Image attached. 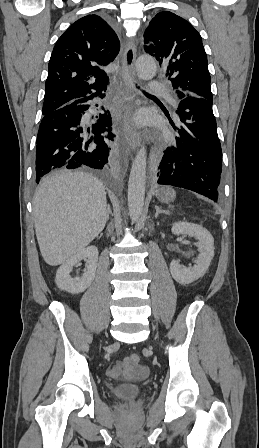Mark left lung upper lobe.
<instances>
[{"instance_id":"left-lung-upper-lobe-1","label":"left lung upper lobe","mask_w":259,"mask_h":448,"mask_svg":"<svg viewBox=\"0 0 259 448\" xmlns=\"http://www.w3.org/2000/svg\"><path fill=\"white\" fill-rule=\"evenodd\" d=\"M144 49L166 68L175 90L213 100L207 55L202 38L185 19L162 11L144 33Z\"/></svg>"}]
</instances>
